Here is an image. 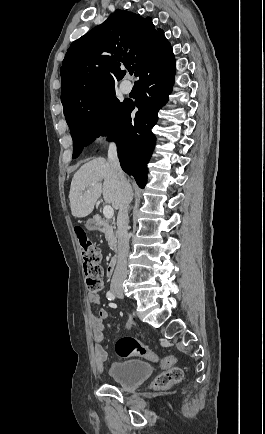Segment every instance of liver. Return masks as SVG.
I'll list each match as a JSON object with an SVG mask.
<instances>
[{"instance_id":"6515ba94","label":"liver","mask_w":265,"mask_h":434,"mask_svg":"<svg viewBox=\"0 0 265 434\" xmlns=\"http://www.w3.org/2000/svg\"><path fill=\"white\" fill-rule=\"evenodd\" d=\"M101 194L106 204H112L115 210L120 208L121 186L117 172L105 158H95L81 166L72 178L69 194L72 216H89Z\"/></svg>"}]
</instances>
